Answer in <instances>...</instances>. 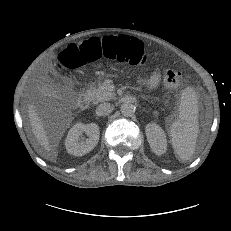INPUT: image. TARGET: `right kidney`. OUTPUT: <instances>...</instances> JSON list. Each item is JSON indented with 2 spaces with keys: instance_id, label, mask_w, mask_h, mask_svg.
<instances>
[{
  "instance_id": "1",
  "label": "right kidney",
  "mask_w": 231,
  "mask_h": 231,
  "mask_svg": "<svg viewBox=\"0 0 231 231\" xmlns=\"http://www.w3.org/2000/svg\"><path fill=\"white\" fill-rule=\"evenodd\" d=\"M85 133L88 139L81 140L80 136ZM99 126L95 123H76L68 132L65 140L67 152L74 156H83L94 149L99 141Z\"/></svg>"
}]
</instances>
